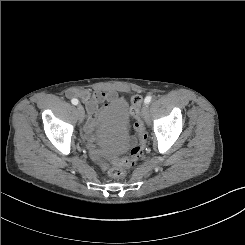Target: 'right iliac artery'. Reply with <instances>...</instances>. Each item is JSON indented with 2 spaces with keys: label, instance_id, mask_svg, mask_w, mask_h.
Returning a JSON list of instances; mask_svg holds the SVG:
<instances>
[{
  "label": "right iliac artery",
  "instance_id": "right-iliac-artery-1",
  "mask_svg": "<svg viewBox=\"0 0 245 245\" xmlns=\"http://www.w3.org/2000/svg\"><path fill=\"white\" fill-rule=\"evenodd\" d=\"M71 102H72V104H74V105H77V104L79 103V101H78L77 99H75V98L72 99Z\"/></svg>",
  "mask_w": 245,
  "mask_h": 245
}]
</instances>
